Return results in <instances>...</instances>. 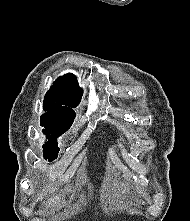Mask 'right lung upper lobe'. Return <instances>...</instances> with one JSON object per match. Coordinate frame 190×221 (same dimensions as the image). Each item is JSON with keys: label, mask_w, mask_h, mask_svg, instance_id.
<instances>
[{"label": "right lung upper lobe", "mask_w": 190, "mask_h": 221, "mask_svg": "<svg viewBox=\"0 0 190 221\" xmlns=\"http://www.w3.org/2000/svg\"><path fill=\"white\" fill-rule=\"evenodd\" d=\"M83 90L79 87L73 74L59 77L47 91L43 109L47 111L41 120H54L73 123L75 112L72 108L79 104Z\"/></svg>", "instance_id": "right-lung-upper-lobe-1"}]
</instances>
